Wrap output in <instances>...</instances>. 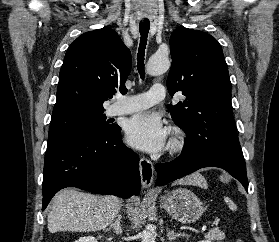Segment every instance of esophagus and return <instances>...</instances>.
<instances>
[{
  "label": "esophagus",
  "mask_w": 279,
  "mask_h": 242,
  "mask_svg": "<svg viewBox=\"0 0 279 242\" xmlns=\"http://www.w3.org/2000/svg\"><path fill=\"white\" fill-rule=\"evenodd\" d=\"M139 170L142 187L145 189H149L153 183L154 178L153 163L146 158H140Z\"/></svg>",
  "instance_id": "34e87169"
}]
</instances>
